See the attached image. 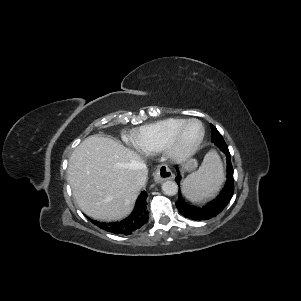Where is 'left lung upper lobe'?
I'll return each mask as SVG.
<instances>
[{
  "instance_id": "left-lung-upper-lobe-1",
  "label": "left lung upper lobe",
  "mask_w": 301,
  "mask_h": 301,
  "mask_svg": "<svg viewBox=\"0 0 301 301\" xmlns=\"http://www.w3.org/2000/svg\"><path fill=\"white\" fill-rule=\"evenodd\" d=\"M211 134H216L219 139L223 140L222 135L218 132V130L216 129V127L212 126V125H211Z\"/></svg>"
}]
</instances>
